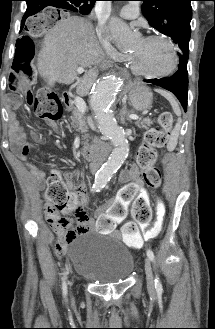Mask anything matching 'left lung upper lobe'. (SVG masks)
<instances>
[{
	"label": "left lung upper lobe",
	"instance_id": "1",
	"mask_svg": "<svg viewBox=\"0 0 215 329\" xmlns=\"http://www.w3.org/2000/svg\"><path fill=\"white\" fill-rule=\"evenodd\" d=\"M149 24L173 40L181 50L179 57L188 58L192 0H141Z\"/></svg>",
	"mask_w": 215,
	"mask_h": 329
}]
</instances>
